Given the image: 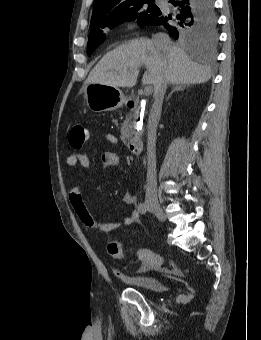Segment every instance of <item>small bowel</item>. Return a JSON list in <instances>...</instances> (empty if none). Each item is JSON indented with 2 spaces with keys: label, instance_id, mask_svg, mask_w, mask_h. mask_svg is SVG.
Segmentation results:
<instances>
[{
  "label": "small bowel",
  "instance_id": "1",
  "mask_svg": "<svg viewBox=\"0 0 261 340\" xmlns=\"http://www.w3.org/2000/svg\"><path fill=\"white\" fill-rule=\"evenodd\" d=\"M90 138L91 132L87 129V139ZM96 139L105 141L113 145L118 143L117 137L112 133L107 132L97 136ZM101 161L106 166L117 165L120 161V155L111 151H105L101 154ZM66 162L69 166L80 165L84 169H88L90 166L89 158L79 151H74L73 153H71L67 157ZM68 199L82 224L93 232L109 233L123 226H130L139 221L140 212L135 209L131 212L129 216L125 217L122 220L104 223L97 222L87 208L81 188L79 186H74L71 188L68 194ZM123 202L130 206H136L137 204L135 196L131 193L125 194V196L123 197ZM143 269L146 270L148 269V267H144Z\"/></svg>",
  "mask_w": 261,
  "mask_h": 340
}]
</instances>
